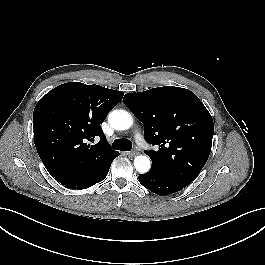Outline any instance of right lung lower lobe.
I'll list each match as a JSON object with an SVG mask.
<instances>
[{
	"label": "right lung lower lobe",
	"instance_id": "1",
	"mask_svg": "<svg viewBox=\"0 0 265 265\" xmlns=\"http://www.w3.org/2000/svg\"><path fill=\"white\" fill-rule=\"evenodd\" d=\"M113 160L114 158L101 168H98L92 171L81 172V173L74 174L71 176H67V177L58 179V181L61 184L69 188H72V189L89 188L93 186L94 184L105 179Z\"/></svg>",
	"mask_w": 265,
	"mask_h": 265
}]
</instances>
